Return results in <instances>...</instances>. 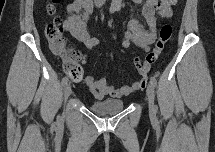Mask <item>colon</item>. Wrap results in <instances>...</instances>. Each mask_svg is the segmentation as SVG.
<instances>
[{"instance_id":"1","label":"colon","mask_w":215,"mask_h":152,"mask_svg":"<svg viewBox=\"0 0 215 152\" xmlns=\"http://www.w3.org/2000/svg\"><path fill=\"white\" fill-rule=\"evenodd\" d=\"M61 3V0H51L47 4L46 11L49 15H54L56 7ZM173 0H163L159 5V14L162 17H167L171 13V5ZM45 36L49 45V48L56 54L62 56L65 59L64 71L73 80L79 79L83 75V70L80 65L81 55L79 52L73 50L67 45V42L63 35V30L60 25L58 17L54 18V21L50 23L45 30ZM172 27L168 24L164 25L159 34L153 49L147 53L142 62H136L135 66L140 74L145 75L150 66L154 64L160 54L162 53L165 45L171 39Z\"/></svg>"}]
</instances>
